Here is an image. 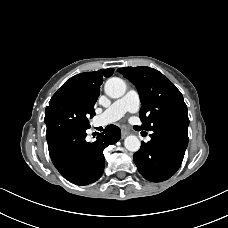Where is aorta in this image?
<instances>
[{
    "label": "aorta",
    "instance_id": "obj_1",
    "mask_svg": "<svg viewBox=\"0 0 228 228\" xmlns=\"http://www.w3.org/2000/svg\"><path fill=\"white\" fill-rule=\"evenodd\" d=\"M105 93L111 98H120L126 92L125 82L118 77L109 78L104 86ZM124 146L128 151L137 152L140 149V140L134 136H127L124 140Z\"/></svg>",
    "mask_w": 228,
    "mask_h": 228
}]
</instances>
